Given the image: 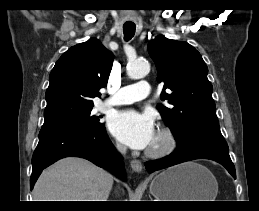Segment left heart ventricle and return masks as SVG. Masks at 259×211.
I'll return each mask as SVG.
<instances>
[{"label":"left heart ventricle","mask_w":259,"mask_h":211,"mask_svg":"<svg viewBox=\"0 0 259 211\" xmlns=\"http://www.w3.org/2000/svg\"><path fill=\"white\" fill-rule=\"evenodd\" d=\"M159 142H160V139H159L158 135L156 134V136H155L152 144L150 145V147H153V146L157 145Z\"/></svg>","instance_id":"b2bd125f"}]
</instances>
